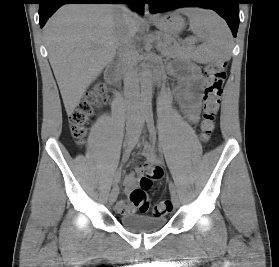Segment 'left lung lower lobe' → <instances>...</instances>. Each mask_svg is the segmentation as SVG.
<instances>
[{"label":"left lung lower lobe","mask_w":279,"mask_h":267,"mask_svg":"<svg viewBox=\"0 0 279 267\" xmlns=\"http://www.w3.org/2000/svg\"><path fill=\"white\" fill-rule=\"evenodd\" d=\"M152 13L164 12L181 7L199 6L219 13L228 23L234 37L239 26V0H150Z\"/></svg>","instance_id":"1"}]
</instances>
